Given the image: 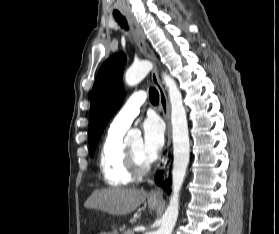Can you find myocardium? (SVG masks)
I'll return each mask as SVG.
<instances>
[{
  "label": "myocardium",
  "mask_w": 279,
  "mask_h": 234,
  "mask_svg": "<svg viewBox=\"0 0 279 234\" xmlns=\"http://www.w3.org/2000/svg\"><path fill=\"white\" fill-rule=\"evenodd\" d=\"M125 150L126 166L133 178L142 177L150 171L153 160L143 163L138 159L134 151L129 146H125Z\"/></svg>",
  "instance_id": "obj_1"
}]
</instances>
